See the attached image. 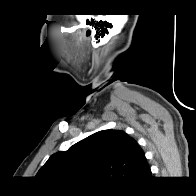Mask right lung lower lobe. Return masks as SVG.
I'll return each instance as SVG.
<instances>
[{
  "instance_id": "1",
  "label": "right lung lower lobe",
  "mask_w": 196,
  "mask_h": 196,
  "mask_svg": "<svg viewBox=\"0 0 196 196\" xmlns=\"http://www.w3.org/2000/svg\"><path fill=\"white\" fill-rule=\"evenodd\" d=\"M147 178H149V176H148ZM143 181H144V180H143ZM143 181H142L141 183H139V184H134V185H130V186H139L140 184L143 183Z\"/></svg>"
}]
</instances>
